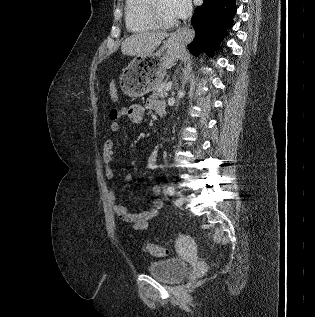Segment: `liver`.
<instances>
[{"label": "liver", "instance_id": "obj_1", "mask_svg": "<svg viewBox=\"0 0 315 317\" xmlns=\"http://www.w3.org/2000/svg\"><path fill=\"white\" fill-rule=\"evenodd\" d=\"M170 34L165 32H144L133 34L121 43V52L127 56H148Z\"/></svg>", "mask_w": 315, "mask_h": 317}]
</instances>
